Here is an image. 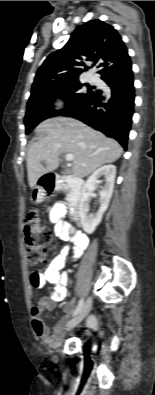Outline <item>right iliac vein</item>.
Instances as JSON below:
<instances>
[{
  "instance_id": "obj_1",
  "label": "right iliac vein",
  "mask_w": 155,
  "mask_h": 395,
  "mask_svg": "<svg viewBox=\"0 0 155 395\" xmlns=\"http://www.w3.org/2000/svg\"><path fill=\"white\" fill-rule=\"evenodd\" d=\"M92 308V299L91 297H89L85 304L83 305L82 309L80 310V312L72 319L68 322L67 324V329H72L73 327L77 326L90 312Z\"/></svg>"
}]
</instances>
